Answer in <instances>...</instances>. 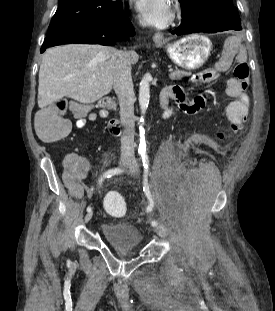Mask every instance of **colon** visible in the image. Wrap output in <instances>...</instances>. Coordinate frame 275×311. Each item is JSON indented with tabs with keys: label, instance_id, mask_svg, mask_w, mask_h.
<instances>
[{
	"label": "colon",
	"instance_id": "1",
	"mask_svg": "<svg viewBox=\"0 0 275 311\" xmlns=\"http://www.w3.org/2000/svg\"><path fill=\"white\" fill-rule=\"evenodd\" d=\"M234 76L239 80L243 89L248 86L249 67L244 61H239L234 67ZM76 112L74 103L58 101L53 106L41 111L36 117V130L38 135L47 141H55L69 134V124L64 118L66 110ZM105 208L111 215H120L125 212V205L119 196V190H106Z\"/></svg>",
	"mask_w": 275,
	"mask_h": 311
}]
</instances>
